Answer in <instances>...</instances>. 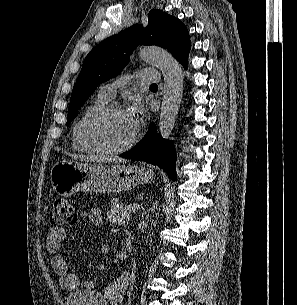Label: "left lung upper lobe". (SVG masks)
<instances>
[{
	"label": "left lung upper lobe",
	"mask_w": 297,
	"mask_h": 305,
	"mask_svg": "<svg viewBox=\"0 0 297 305\" xmlns=\"http://www.w3.org/2000/svg\"><path fill=\"white\" fill-rule=\"evenodd\" d=\"M139 45L166 48L181 64L187 62L191 42L186 26L177 18L153 9L148 14V25L140 24L111 36L86 56L71 94L67 125L76 117L86 99L99 83L118 75L127 65L132 51Z\"/></svg>",
	"instance_id": "left-lung-upper-lobe-1"
}]
</instances>
